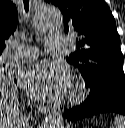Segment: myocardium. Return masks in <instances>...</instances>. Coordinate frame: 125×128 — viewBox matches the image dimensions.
Instances as JSON below:
<instances>
[{
	"instance_id": "myocardium-1",
	"label": "myocardium",
	"mask_w": 125,
	"mask_h": 128,
	"mask_svg": "<svg viewBox=\"0 0 125 128\" xmlns=\"http://www.w3.org/2000/svg\"><path fill=\"white\" fill-rule=\"evenodd\" d=\"M87 90L83 84H79L75 87L71 95L72 102H79L86 96Z\"/></svg>"
}]
</instances>
